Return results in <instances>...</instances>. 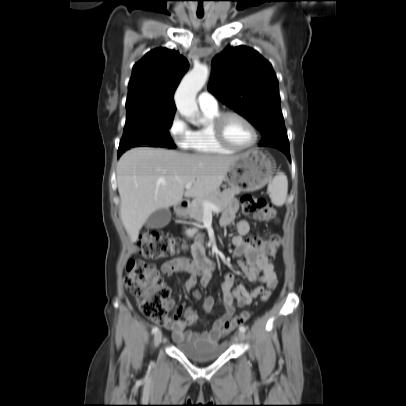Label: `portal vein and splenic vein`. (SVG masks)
<instances>
[{"instance_id": "1", "label": "portal vein and splenic vein", "mask_w": 406, "mask_h": 406, "mask_svg": "<svg viewBox=\"0 0 406 406\" xmlns=\"http://www.w3.org/2000/svg\"><path fill=\"white\" fill-rule=\"evenodd\" d=\"M193 183H194L193 181L186 183L185 188L186 189L191 188ZM202 206H203L204 210H206V211L219 212L218 207L216 205H214L213 203L209 202V201H203Z\"/></svg>"}]
</instances>
